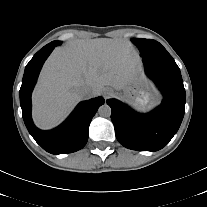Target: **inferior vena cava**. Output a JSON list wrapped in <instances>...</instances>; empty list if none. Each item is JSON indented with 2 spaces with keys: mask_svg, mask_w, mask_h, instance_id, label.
Returning <instances> with one entry per match:
<instances>
[{
  "mask_svg": "<svg viewBox=\"0 0 207 207\" xmlns=\"http://www.w3.org/2000/svg\"><path fill=\"white\" fill-rule=\"evenodd\" d=\"M78 93L82 98H90L92 96V90L87 86L80 87Z\"/></svg>",
  "mask_w": 207,
  "mask_h": 207,
  "instance_id": "602c4592",
  "label": "inferior vena cava"
}]
</instances>
